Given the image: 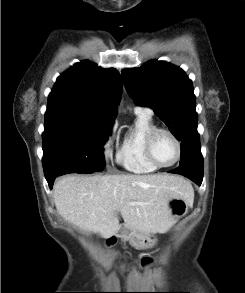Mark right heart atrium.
Returning <instances> with one entry per match:
<instances>
[{"label": "right heart atrium", "instance_id": "right-heart-atrium-1", "mask_svg": "<svg viewBox=\"0 0 245 293\" xmlns=\"http://www.w3.org/2000/svg\"><path fill=\"white\" fill-rule=\"evenodd\" d=\"M115 137V131L114 129H111L107 132L106 137L103 142V152L106 158H109L113 151V142Z\"/></svg>", "mask_w": 245, "mask_h": 293}]
</instances>
